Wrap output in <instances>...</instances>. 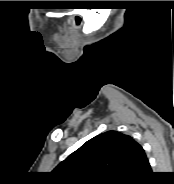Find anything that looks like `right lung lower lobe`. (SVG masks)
I'll return each mask as SVG.
<instances>
[{"label":"right lung lower lobe","instance_id":"98d812e1","mask_svg":"<svg viewBox=\"0 0 174 184\" xmlns=\"http://www.w3.org/2000/svg\"><path fill=\"white\" fill-rule=\"evenodd\" d=\"M151 174V167L149 162L143 167V169L136 174V176L128 181L122 182L121 184H145Z\"/></svg>","mask_w":174,"mask_h":184}]
</instances>
